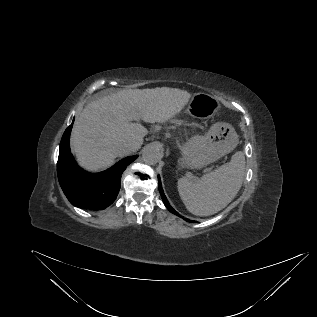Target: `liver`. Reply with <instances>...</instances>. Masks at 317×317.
Returning a JSON list of instances; mask_svg holds the SVG:
<instances>
[{
    "label": "liver",
    "instance_id": "liver-1",
    "mask_svg": "<svg viewBox=\"0 0 317 317\" xmlns=\"http://www.w3.org/2000/svg\"><path fill=\"white\" fill-rule=\"evenodd\" d=\"M190 98L184 90L156 87L122 90L88 103L76 117L71 134L79 165L89 171L112 165L124 156L118 151L124 142L135 143L138 150L148 133L140 120L165 123L180 113Z\"/></svg>",
    "mask_w": 317,
    "mask_h": 317
}]
</instances>
